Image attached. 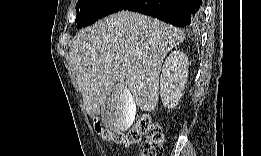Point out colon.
I'll use <instances>...</instances> for the list:
<instances>
[{"label": "colon", "mask_w": 261, "mask_h": 156, "mask_svg": "<svg viewBox=\"0 0 261 156\" xmlns=\"http://www.w3.org/2000/svg\"><path fill=\"white\" fill-rule=\"evenodd\" d=\"M100 137L109 142L128 147L141 141L144 136L145 140L140 149L141 156H161L163 154L164 137L159 123L153 122L148 115L142 116L138 122L129 130L112 131L100 125L96 126Z\"/></svg>", "instance_id": "5ec220e1"}]
</instances>
